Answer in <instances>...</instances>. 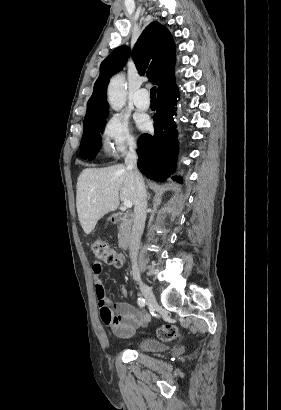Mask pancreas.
I'll return each mask as SVG.
<instances>
[{
    "label": "pancreas",
    "instance_id": "cf45deb5",
    "mask_svg": "<svg viewBox=\"0 0 281 410\" xmlns=\"http://www.w3.org/2000/svg\"><path fill=\"white\" fill-rule=\"evenodd\" d=\"M126 234H127V225H126V222L123 221L122 224L120 225L119 234H118V240L120 244H122L125 241Z\"/></svg>",
    "mask_w": 281,
    "mask_h": 410
}]
</instances>
